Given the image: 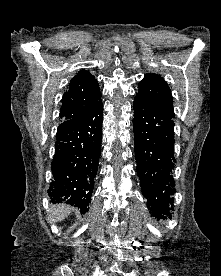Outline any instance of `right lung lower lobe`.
I'll return each instance as SVG.
<instances>
[{"label":"right lung lower lobe","instance_id":"1","mask_svg":"<svg viewBox=\"0 0 221 276\" xmlns=\"http://www.w3.org/2000/svg\"><path fill=\"white\" fill-rule=\"evenodd\" d=\"M102 118L101 101L85 117L59 125L48 190L52 202L67 199L81 213L88 211L101 154Z\"/></svg>","mask_w":221,"mask_h":276}]
</instances>
